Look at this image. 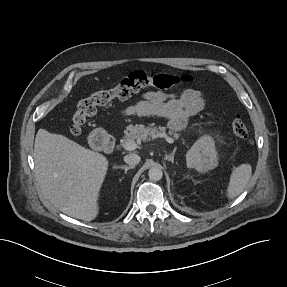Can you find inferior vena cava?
I'll use <instances>...</instances> for the list:
<instances>
[{
  "label": "inferior vena cava",
  "mask_w": 287,
  "mask_h": 287,
  "mask_svg": "<svg viewBox=\"0 0 287 287\" xmlns=\"http://www.w3.org/2000/svg\"><path fill=\"white\" fill-rule=\"evenodd\" d=\"M141 158L137 154H128L124 157L125 163L129 164L130 166H135L140 162Z\"/></svg>",
  "instance_id": "inferior-vena-cava-1"
}]
</instances>
